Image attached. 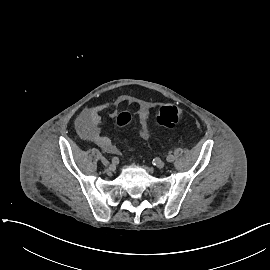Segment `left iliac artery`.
Listing matches in <instances>:
<instances>
[{
  "mask_svg": "<svg viewBox=\"0 0 270 270\" xmlns=\"http://www.w3.org/2000/svg\"><path fill=\"white\" fill-rule=\"evenodd\" d=\"M166 160H167L168 162H174L175 157H174L173 155H168L167 158H166Z\"/></svg>",
  "mask_w": 270,
  "mask_h": 270,
  "instance_id": "44dca946",
  "label": "left iliac artery"
}]
</instances>
